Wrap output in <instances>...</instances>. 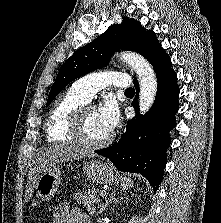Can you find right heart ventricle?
Segmentation results:
<instances>
[{"instance_id":"right-heart-ventricle-1","label":"right heart ventricle","mask_w":221,"mask_h":223,"mask_svg":"<svg viewBox=\"0 0 221 223\" xmlns=\"http://www.w3.org/2000/svg\"><path fill=\"white\" fill-rule=\"evenodd\" d=\"M86 101L71 88L58 96L47 116L44 132L48 142L71 143L67 128L73 112Z\"/></svg>"}]
</instances>
